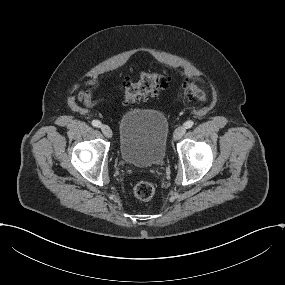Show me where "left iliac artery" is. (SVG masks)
I'll return each mask as SVG.
<instances>
[{
    "mask_svg": "<svg viewBox=\"0 0 285 285\" xmlns=\"http://www.w3.org/2000/svg\"><path fill=\"white\" fill-rule=\"evenodd\" d=\"M194 122L189 120L184 123L185 128H191L193 126Z\"/></svg>",
    "mask_w": 285,
    "mask_h": 285,
    "instance_id": "44dca946",
    "label": "left iliac artery"
}]
</instances>
